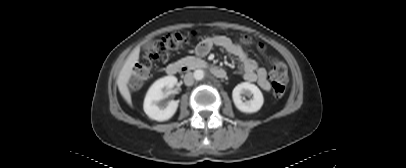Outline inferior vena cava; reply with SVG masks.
<instances>
[{"instance_id":"inferior-vena-cava-1","label":"inferior vena cava","mask_w":406,"mask_h":168,"mask_svg":"<svg viewBox=\"0 0 406 168\" xmlns=\"http://www.w3.org/2000/svg\"><path fill=\"white\" fill-rule=\"evenodd\" d=\"M184 83L187 86H191L194 83V76L191 72H188L187 74H185L184 76Z\"/></svg>"}]
</instances>
